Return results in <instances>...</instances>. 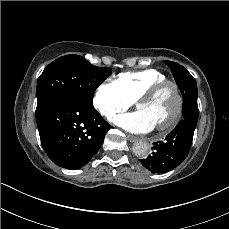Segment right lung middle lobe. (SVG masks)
Returning <instances> with one entry per match:
<instances>
[{"label":"right lung middle lobe","mask_w":229,"mask_h":229,"mask_svg":"<svg viewBox=\"0 0 229 229\" xmlns=\"http://www.w3.org/2000/svg\"><path fill=\"white\" fill-rule=\"evenodd\" d=\"M108 67H96L78 55H66L49 64L37 83L36 117L50 104L72 97L93 105L96 88L111 75Z\"/></svg>","instance_id":"1"}]
</instances>
